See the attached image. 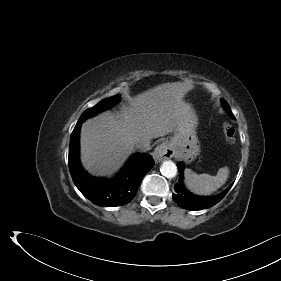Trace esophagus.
Listing matches in <instances>:
<instances>
[{
    "mask_svg": "<svg viewBox=\"0 0 281 281\" xmlns=\"http://www.w3.org/2000/svg\"><path fill=\"white\" fill-rule=\"evenodd\" d=\"M174 156V149L168 142H163L158 145L153 152V158L156 162H160L165 159H170Z\"/></svg>",
    "mask_w": 281,
    "mask_h": 281,
    "instance_id": "obj_1",
    "label": "esophagus"
}]
</instances>
